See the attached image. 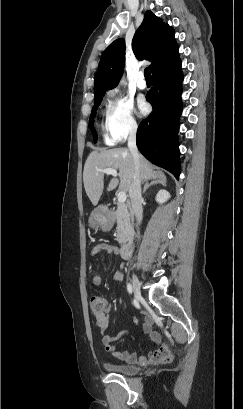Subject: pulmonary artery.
<instances>
[{
	"label": "pulmonary artery",
	"mask_w": 243,
	"mask_h": 409,
	"mask_svg": "<svg viewBox=\"0 0 243 409\" xmlns=\"http://www.w3.org/2000/svg\"><path fill=\"white\" fill-rule=\"evenodd\" d=\"M137 87L141 90H144L147 87L146 81L144 80V74L140 73L137 81Z\"/></svg>",
	"instance_id": "obj_1"
}]
</instances>
